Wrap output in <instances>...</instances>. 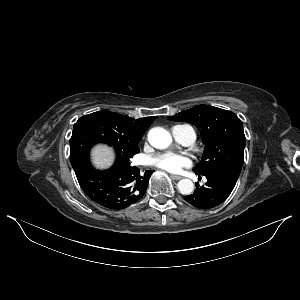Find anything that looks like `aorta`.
Listing matches in <instances>:
<instances>
[{
  "label": "aorta",
  "instance_id": "762f6f07",
  "mask_svg": "<svg viewBox=\"0 0 300 300\" xmlns=\"http://www.w3.org/2000/svg\"><path fill=\"white\" fill-rule=\"evenodd\" d=\"M148 141L151 146L157 149H164L171 144L172 137L167 130L161 127H154L148 133ZM177 187L183 195H190L194 191V184L190 179H181Z\"/></svg>",
  "mask_w": 300,
  "mask_h": 300
}]
</instances>
